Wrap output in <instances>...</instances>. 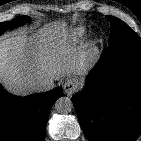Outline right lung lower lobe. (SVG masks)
<instances>
[{
  "label": "right lung lower lobe",
  "instance_id": "98d812e1",
  "mask_svg": "<svg viewBox=\"0 0 141 141\" xmlns=\"http://www.w3.org/2000/svg\"><path fill=\"white\" fill-rule=\"evenodd\" d=\"M62 88L16 97L0 85V141H42L49 111Z\"/></svg>",
  "mask_w": 141,
  "mask_h": 141
}]
</instances>
